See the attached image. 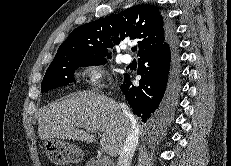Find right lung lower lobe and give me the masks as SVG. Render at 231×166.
Segmentation results:
<instances>
[{
    "label": "right lung lower lobe",
    "instance_id": "1",
    "mask_svg": "<svg viewBox=\"0 0 231 166\" xmlns=\"http://www.w3.org/2000/svg\"><path fill=\"white\" fill-rule=\"evenodd\" d=\"M167 29V42L139 59L140 86H133L126 74L120 87L134 113L155 129L171 120L180 89L177 38L169 21Z\"/></svg>",
    "mask_w": 231,
    "mask_h": 166
}]
</instances>
